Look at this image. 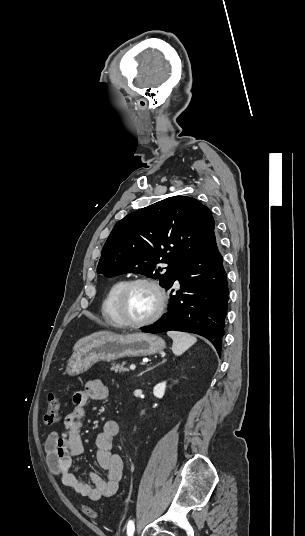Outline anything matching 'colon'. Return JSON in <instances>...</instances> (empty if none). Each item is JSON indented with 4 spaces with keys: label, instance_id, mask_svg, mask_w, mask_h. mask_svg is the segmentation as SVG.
Segmentation results:
<instances>
[{
    "label": "colon",
    "instance_id": "1",
    "mask_svg": "<svg viewBox=\"0 0 305 536\" xmlns=\"http://www.w3.org/2000/svg\"><path fill=\"white\" fill-rule=\"evenodd\" d=\"M60 412V403L58 398L50 393L48 395V404L46 407L45 415H44V423L46 426H52L58 421ZM83 515L85 518L90 519L93 516L96 515L95 512H93L92 509L87 508L84 510Z\"/></svg>",
    "mask_w": 305,
    "mask_h": 536
}]
</instances>
